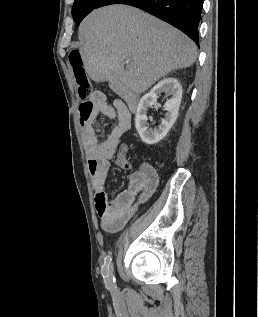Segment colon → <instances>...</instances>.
<instances>
[{
    "mask_svg": "<svg viewBox=\"0 0 258 317\" xmlns=\"http://www.w3.org/2000/svg\"><path fill=\"white\" fill-rule=\"evenodd\" d=\"M69 63L76 79L78 96L82 102L87 101L91 93V81L87 75L81 53L78 49H72L69 52ZM127 151L128 147L125 144H122L117 148L114 160L118 165L123 167L129 166L126 157Z\"/></svg>",
    "mask_w": 258,
    "mask_h": 317,
    "instance_id": "obj_1",
    "label": "colon"
}]
</instances>
